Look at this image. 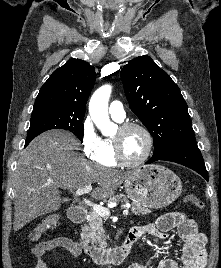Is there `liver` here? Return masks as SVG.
<instances>
[{"mask_svg": "<svg viewBox=\"0 0 221 268\" xmlns=\"http://www.w3.org/2000/svg\"><path fill=\"white\" fill-rule=\"evenodd\" d=\"M77 149L72 134L51 130L36 137L21 153L15 171L14 231L57 211L62 202L60 188L74 191L97 183L91 196L106 200L134 174L89 162L74 152Z\"/></svg>", "mask_w": 221, "mask_h": 268, "instance_id": "obj_1", "label": "liver"}]
</instances>
